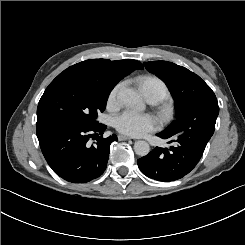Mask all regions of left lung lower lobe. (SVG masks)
<instances>
[{
  "label": "left lung lower lobe",
  "instance_id": "0a47b994",
  "mask_svg": "<svg viewBox=\"0 0 245 245\" xmlns=\"http://www.w3.org/2000/svg\"><path fill=\"white\" fill-rule=\"evenodd\" d=\"M217 118V117H216ZM216 118L210 113L191 119L183 128L173 132H160L157 136L174 143L168 148L156 147L138 159L144 175L157 181L169 182L183 178L197 165L206 144L215 130Z\"/></svg>",
  "mask_w": 245,
  "mask_h": 245
}]
</instances>
